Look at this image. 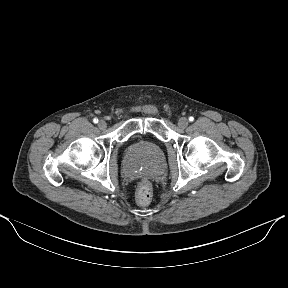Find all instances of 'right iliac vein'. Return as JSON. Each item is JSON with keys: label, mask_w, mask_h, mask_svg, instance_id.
I'll list each match as a JSON object with an SVG mask.
<instances>
[{"label": "right iliac vein", "mask_w": 288, "mask_h": 288, "mask_svg": "<svg viewBox=\"0 0 288 288\" xmlns=\"http://www.w3.org/2000/svg\"><path fill=\"white\" fill-rule=\"evenodd\" d=\"M98 127H99V129L104 130V129L107 127L106 121L100 120V121L98 122Z\"/></svg>", "instance_id": "1"}]
</instances>
